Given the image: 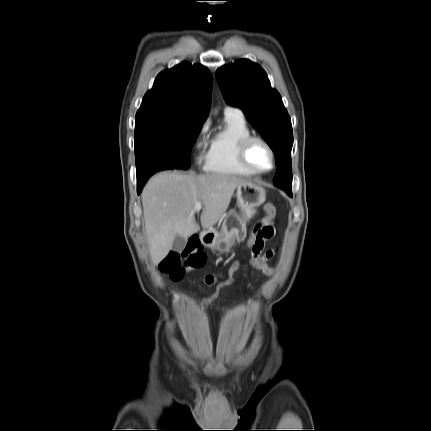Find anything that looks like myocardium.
I'll return each instance as SVG.
<instances>
[{"mask_svg":"<svg viewBox=\"0 0 431 431\" xmlns=\"http://www.w3.org/2000/svg\"><path fill=\"white\" fill-rule=\"evenodd\" d=\"M254 142H260L268 149V151L271 155V161H272L271 167L269 169H266V170L259 169V168L255 167L249 161L248 150H249L250 145ZM238 158H239V161L241 162V164L245 168H247L248 170H250L256 174L269 173V172L273 171L276 167V154H275L273 147L271 146V144L266 139H264L263 137H260V136L250 135V136L244 138L238 146Z\"/></svg>","mask_w":431,"mask_h":431,"instance_id":"myocardium-1","label":"myocardium"}]
</instances>
